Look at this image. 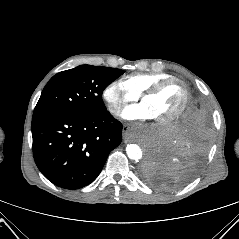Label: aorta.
<instances>
[{
  "instance_id": "1",
  "label": "aorta",
  "mask_w": 239,
  "mask_h": 239,
  "mask_svg": "<svg viewBox=\"0 0 239 239\" xmlns=\"http://www.w3.org/2000/svg\"><path fill=\"white\" fill-rule=\"evenodd\" d=\"M126 153L129 159L139 161L142 158V150L137 144H128Z\"/></svg>"
}]
</instances>
